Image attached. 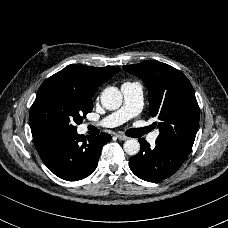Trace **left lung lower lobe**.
<instances>
[{"instance_id":"left-lung-lower-lobe-1","label":"left lung lower lobe","mask_w":228,"mask_h":228,"mask_svg":"<svg viewBox=\"0 0 228 228\" xmlns=\"http://www.w3.org/2000/svg\"><path fill=\"white\" fill-rule=\"evenodd\" d=\"M140 152L132 156L129 166L132 172L145 181L159 182L173 175L183 164L192 147L156 139V145L139 139Z\"/></svg>"}]
</instances>
